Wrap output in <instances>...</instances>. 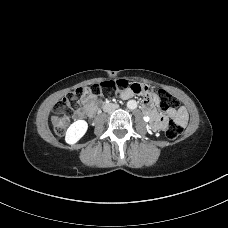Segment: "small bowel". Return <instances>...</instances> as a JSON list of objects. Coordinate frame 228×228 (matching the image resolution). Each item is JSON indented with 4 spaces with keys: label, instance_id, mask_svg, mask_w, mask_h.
Segmentation results:
<instances>
[{
    "label": "small bowel",
    "instance_id": "1",
    "mask_svg": "<svg viewBox=\"0 0 228 228\" xmlns=\"http://www.w3.org/2000/svg\"><path fill=\"white\" fill-rule=\"evenodd\" d=\"M133 96L131 89H126L121 92V97L123 99H129ZM99 97L93 92H89L84 100L83 107L77 112V117H84L85 115H92L96 112L98 108ZM159 99L156 95L149 96L144 101V112L153 119L154 130L164 129L166 126V118L163 115L158 114L155 111V107L158 106ZM169 114L175 118L176 122L181 126H185L188 121V113L184 107H180L177 110H172Z\"/></svg>",
    "mask_w": 228,
    "mask_h": 228
}]
</instances>
